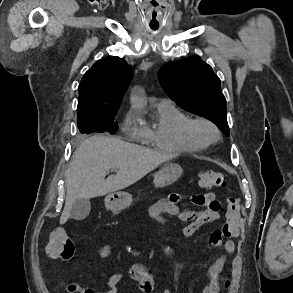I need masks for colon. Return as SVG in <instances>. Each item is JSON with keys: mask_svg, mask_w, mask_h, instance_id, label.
Segmentation results:
<instances>
[{"mask_svg": "<svg viewBox=\"0 0 293 293\" xmlns=\"http://www.w3.org/2000/svg\"><path fill=\"white\" fill-rule=\"evenodd\" d=\"M199 185L202 188H224L226 181L221 172L205 170L199 174ZM240 204L237 197L231 196L227 200L226 221L222 228L225 237H234L238 234ZM46 253L52 259L70 261L75 254V246L70 235L63 229H55L46 245ZM230 283L229 277L219 279V285L226 288Z\"/></svg>", "mask_w": 293, "mask_h": 293, "instance_id": "1", "label": "colon"}]
</instances>
